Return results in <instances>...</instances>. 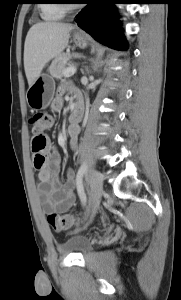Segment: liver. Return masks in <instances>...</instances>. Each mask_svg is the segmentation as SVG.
<instances>
[{
  "instance_id": "6515ba94",
  "label": "liver",
  "mask_w": 181,
  "mask_h": 300,
  "mask_svg": "<svg viewBox=\"0 0 181 300\" xmlns=\"http://www.w3.org/2000/svg\"><path fill=\"white\" fill-rule=\"evenodd\" d=\"M73 28L71 24L40 22L29 29L24 44V68L29 87L40 77L45 65L68 46Z\"/></svg>"
}]
</instances>
